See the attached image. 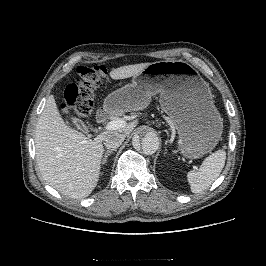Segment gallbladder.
Here are the masks:
<instances>
[{"label": "gallbladder", "mask_w": 266, "mask_h": 266, "mask_svg": "<svg viewBox=\"0 0 266 266\" xmlns=\"http://www.w3.org/2000/svg\"><path fill=\"white\" fill-rule=\"evenodd\" d=\"M73 119V123L83 132H86V128L81 125L80 120H78L77 118H72Z\"/></svg>", "instance_id": "1"}]
</instances>
